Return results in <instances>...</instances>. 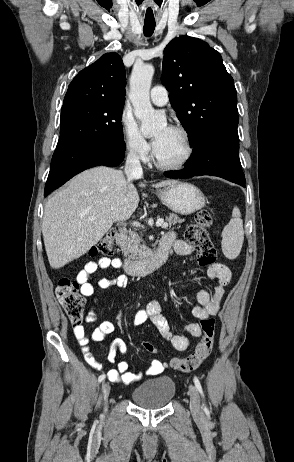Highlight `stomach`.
Returning a JSON list of instances; mask_svg holds the SVG:
<instances>
[{"instance_id":"obj_1","label":"stomach","mask_w":294,"mask_h":462,"mask_svg":"<svg viewBox=\"0 0 294 462\" xmlns=\"http://www.w3.org/2000/svg\"><path fill=\"white\" fill-rule=\"evenodd\" d=\"M158 197L170 210L182 214H192L205 206V197L196 186L176 182L157 192Z\"/></svg>"}]
</instances>
